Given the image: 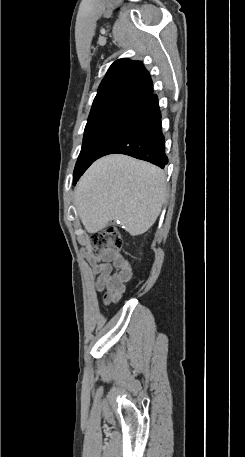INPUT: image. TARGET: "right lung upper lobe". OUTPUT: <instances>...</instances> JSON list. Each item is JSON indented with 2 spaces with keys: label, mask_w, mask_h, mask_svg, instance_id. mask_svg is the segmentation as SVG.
<instances>
[{
  "label": "right lung upper lobe",
  "mask_w": 245,
  "mask_h": 457,
  "mask_svg": "<svg viewBox=\"0 0 245 457\" xmlns=\"http://www.w3.org/2000/svg\"><path fill=\"white\" fill-rule=\"evenodd\" d=\"M152 92V81L140 61L117 60L102 80L90 113L130 111Z\"/></svg>",
  "instance_id": "1"
}]
</instances>
